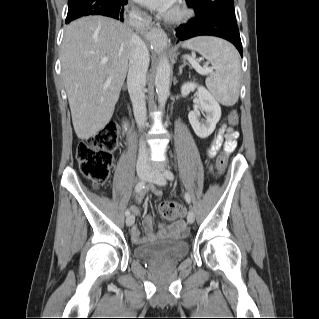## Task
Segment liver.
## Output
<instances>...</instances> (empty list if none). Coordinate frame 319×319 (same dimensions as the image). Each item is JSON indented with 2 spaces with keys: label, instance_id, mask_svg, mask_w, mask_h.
Here are the masks:
<instances>
[{
  "label": "liver",
  "instance_id": "liver-1",
  "mask_svg": "<svg viewBox=\"0 0 319 319\" xmlns=\"http://www.w3.org/2000/svg\"><path fill=\"white\" fill-rule=\"evenodd\" d=\"M132 35L127 25L104 16L83 17L65 28L61 69L78 138L88 139L109 123L127 74Z\"/></svg>",
  "mask_w": 319,
  "mask_h": 319
}]
</instances>
